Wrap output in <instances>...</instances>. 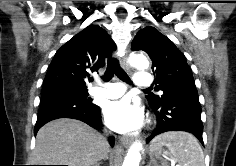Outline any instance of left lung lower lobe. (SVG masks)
I'll return each mask as SVG.
<instances>
[{"mask_svg":"<svg viewBox=\"0 0 236 166\" xmlns=\"http://www.w3.org/2000/svg\"><path fill=\"white\" fill-rule=\"evenodd\" d=\"M157 116V127L149 138L168 131H186L192 133L202 145L203 124L201 105L197 91H179L172 95L160 107H152Z\"/></svg>","mask_w":236,"mask_h":166,"instance_id":"1","label":"left lung lower lobe"}]
</instances>
